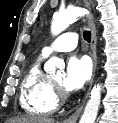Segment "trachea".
I'll list each match as a JSON object with an SVG mask.
<instances>
[{
  "label": "trachea",
  "instance_id": "trachea-1",
  "mask_svg": "<svg viewBox=\"0 0 118 123\" xmlns=\"http://www.w3.org/2000/svg\"><path fill=\"white\" fill-rule=\"evenodd\" d=\"M83 37L89 43L91 41V32L90 31H84Z\"/></svg>",
  "mask_w": 118,
  "mask_h": 123
}]
</instances>
